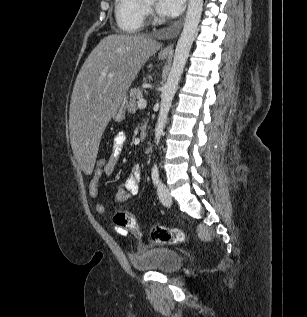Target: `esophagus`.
<instances>
[{"label":"esophagus","mask_w":307,"mask_h":317,"mask_svg":"<svg viewBox=\"0 0 307 317\" xmlns=\"http://www.w3.org/2000/svg\"><path fill=\"white\" fill-rule=\"evenodd\" d=\"M173 47H174V44L168 45L167 47L164 48L163 52L164 53H173Z\"/></svg>","instance_id":"esophagus-1"}]
</instances>
